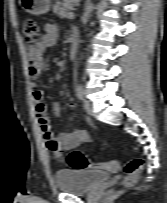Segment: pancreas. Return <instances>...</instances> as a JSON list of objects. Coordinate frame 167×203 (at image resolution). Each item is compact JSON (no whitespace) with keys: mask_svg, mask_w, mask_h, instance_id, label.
Masks as SVG:
<instances>
[{"mask_svg":"<svg viewBox=\"0 0 167 203\" xmlns=\"http://www.w3.org/2000/svg\"><path fill=\"white\" fill-rule=\"evenodd\" d=\"M79 2L80 0H62L53 6V12L59 17H68L69 11L74 10V6Z\"/></svg>","mask_w":167,"mask_h":203,"instance_id":"cf45deb5","label":"pancreas"}]
</instances>
